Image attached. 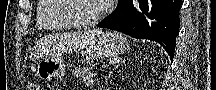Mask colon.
Returning <instances> with one entry per match:
<instances>
[{
  "label": "colon",
  "mask_w": 216,
  "mask_h": 90,
  "mask_svg": "<svg viewBox=\"0 0 216 90\" xmlns=\"http://www.w3.org/2000/svg\"><path fill=\"white\" fill-rule=\"evenodd\" d=\"M25 90H39V87L34 82H28L24 88Z\"/></svg>",
  "instance_id": "1"
}]
</instances>
